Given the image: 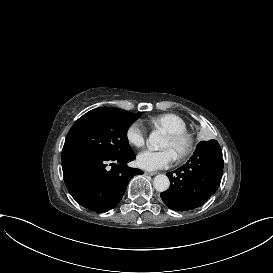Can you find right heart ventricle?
Masks as SVG:
<instances>
[{"instance_id":"obj_1","label":"right heart ventricle","mask_w":273,"mask_h":273,"mask_svg":"<svg viewBox=\"0 0 273 273\" xmlns=\"http://www.w3.org/2000/svg\"><path fill=\"white\" fill-rule=\"evenodd\" d=\"M140 123H143L140 120ZM147 123L151 126L162 128L165 132H183L188 128L186 120L176 113H165L152 116L148 119Z\"/></svg>"}]
</instances>
